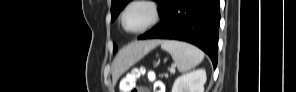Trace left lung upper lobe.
<instances>
[{
	"instance_id": "obj_1",
	"label": "left lung upper lobe",
	"mask_w": 296,
	"mask_h": 92,
	"mask_svg": "<svg viewBox=\"0 0 296 92\" xmlns=\"http://www.w3.org/2000/svg\"><path fill=\"white\" fill-rule=\"evenodd\" d=\"M131 0H112L111 3V14H112V21L118 16L119 12L124 8V6L130 2ZM156 1L160 7L158 8L159 14L162 17L161 21L163 20L167 4L169 0H154ZM117 46L114 44L113 52L117 51Z\"/></svg>"
}]
</instances>
